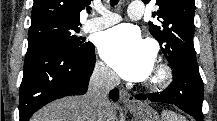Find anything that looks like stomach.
<instances>
[{
  "label": "stomach",
  "mask_w": 217,
  "mask_h": 121,
  "mask_svg": "<svg viewBox=\"0 0 217 121\" xmlns=\"http://www.w3.org/2000/svg\"><path fill=\"white\" fill-rule=\"evenodd\" d=\"M129 111L138 121H160L158 113L145 103H140L135 107L129 108Z\"/></svg>",
  "instance_id": "1"
}]
</instances>
